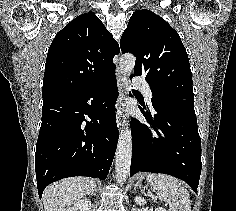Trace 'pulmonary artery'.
I'll return each mask as SVG.
<instances>
[{"instance_id": "pulmonary-artery-1", "label": "pulmonary artery", "mask_w": 236, "mask_h": 211, "mask_svg": "<svg viewBox=\"0 0 236 211\" xmlns=\"http://www.w3.org/2000/svg\"><path fill=\"white\" fill-rule=\"evenodd\" d=\"M134 84L142 91V93L144 94L145 98L148 101H151L153 95H152L150 86L147 83V81L145 79L136 78L134 80Z\"/></svg>"}]
</instances>
